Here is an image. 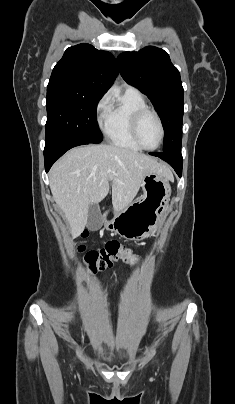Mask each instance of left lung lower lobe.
<instances>
[{
    "instance_id": "left-lung-lower-lobe-1",
    "label": "left lung lower lobe",
    "mask_w": 235,
    "mask_h": 404,
    "mask_svg": "<svg viewBox=\"0 0 235 404\" xmlns=\"http://www.w3.org/2000/svg\"><path fill=\"white\" fill-rule=\"evenodd\" d=\"M150 155L157 156L162 160L166 161L167 163H169L174 168L178 176L181 177L182 165H183V158L181 152H162V153L153 152L150 153Z\"/></svg>"
}]
</instances>
